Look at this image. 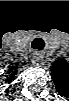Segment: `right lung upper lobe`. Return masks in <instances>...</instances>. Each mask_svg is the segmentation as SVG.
<instances>
[{
  "label": "right lung upper lobe",
  "mask_w": 69,
  "mask_h": 101,
  "mask_svg": "<svg viewBox=\"0 0 69 101\" xmlns=\"http://www.w3.org/2000/svg\"><path fill=\"white\" fill-rule=\"evenodd\" d=\"M8 74H10L9 78L7 79L8 82H11L14 79L15 72L12 69L8 70Z\"/></svg>",
  "instance_id": "obj_1"
}]
</instances>
